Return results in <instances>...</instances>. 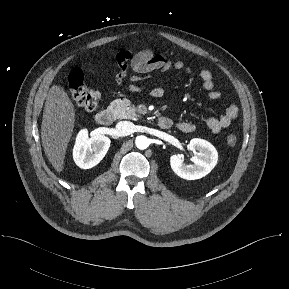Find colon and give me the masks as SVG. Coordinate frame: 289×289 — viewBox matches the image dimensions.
<instances>
[{
  "mask_svg": "<svg viewBox=\"0 0 289 289\" xmlns=\"http://www.w3.org/2000/svg\"><path fill=\"white\" fill-rule=\"evenodd\" d=\"M68 93L80 107L87 111H94L100 106L99 93L86 85L80 70H74L70 73ZM226 141L229 146L233 147L237 144V137L234 134H229Z\"/></svg>",
  "mask_w": 289,
  "mask_h": 289,
  "instance_id": "colon-1",
  "label": "colon"
}]
</instances>
